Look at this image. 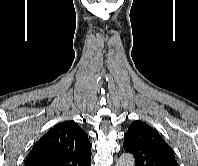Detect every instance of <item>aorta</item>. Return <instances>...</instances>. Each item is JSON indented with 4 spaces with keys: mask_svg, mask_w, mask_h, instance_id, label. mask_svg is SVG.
I'll list each match as a JSON object with an SVG mask.
<instances>
[{
    "mask_svg": "<svg viewBox=\"0 0 198 166\" xmlns=\"http://www.w3.org/2000/svg\"><path fill=\"white\" fill-rule=\"evenodd\" d=\"M116 166H135L134 157L129 153H124L119 157Z\"/></svg>",
    "mask_w": 198,
    "mask_h": 166,
    "instance_id": "1",
    "label": "aorta"
}]
</instances>
